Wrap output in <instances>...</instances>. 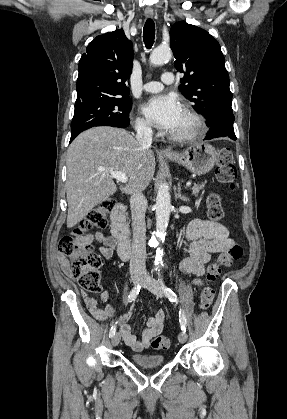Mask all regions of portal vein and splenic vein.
I'll use <instances>...</instances> for the list:
<instances>
[{"instance_id": "18ae733b", "label": "portal vein and splenic vein", "mask_w": 287, "mask_h": 419, "mask_svg": "<svg viewBox=\"0 0 287 419\" xmlns=\"http://www.w3.org/2000/svg\"><path fill=\"white\" fill-rule=\"evenodd\" d=\"M101 171H105L104 169H101ZM108 172L112 178L122 182V183H126L128 181V177L126 176V174L122 173V172H118V171H113V170H109L106 171ZM191 185V181H188L186 183V186L189 187Z\"/></svg>"}]
</instances>
